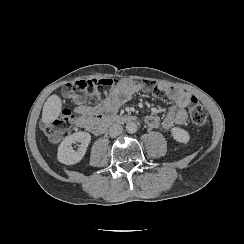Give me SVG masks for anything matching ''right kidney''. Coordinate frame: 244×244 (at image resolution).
<instances>
[{
    "label": "right kidney",
    "instance_id": "ca27d5eb",
    "mask_svg": "<svg viewBox=\"0 0 244 244\" xmlns=\"http://www.w3.org/2000/svg\"><path fill=\"white\" fill-rule=\"evenodd\" d=\"M90 141L91 135L87 132L80 131L69 135L58 147V161L67 166L78 164L84 158ZM76 142L81 143L78 150H74L72 146Z\"/></svg>",
    "mask_w": 244,
    "mask_h": 244
}]
</instances>
